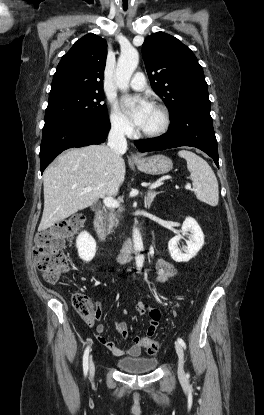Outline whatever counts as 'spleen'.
Listing matches in <instances>:
<instances>
[{
	"instance_id": "3e777b00",
	"label": "spleen",
	"mask_w": 264,
	"mask_h": 415,
	"mask_svg": "<svg viewBox=\"0 0 264 415\" xmlns=\"http://www.w3.org/2000/svg\"><path fill=\"white\" fill-rule=\"evenodd\" d=\"M178 155L187 161L197 199L210 206H216L219 201V190L212 168L203 158L191 151L181 150Z\"/></svg>"
}]
</instances>
